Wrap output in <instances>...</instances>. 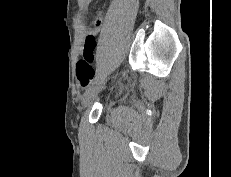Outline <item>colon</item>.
Returning <instances> with one entry per match:
<instances>
[{
  "mask_svg": "<svg viewBox=\"0 0 231 177\" xmlns=\"http://www.w3.org/2000/svg\"><path fill=\"white\" fill-rule=\"evenodd\" d=\"M95 47L94 36L89 35L85 40L83 57L77 62V80L81 87L87 86L94 76V68L91 64Z\"/></svg>",
  "mask_w": 231,
  "mask_h": 177,
  "instance_id": "5ec220e1",
  "label": "colon"
}]
</instances>
